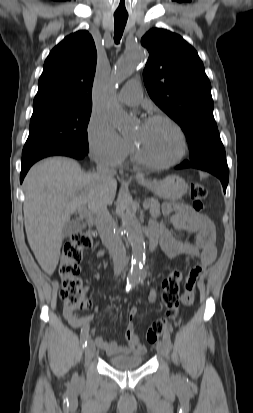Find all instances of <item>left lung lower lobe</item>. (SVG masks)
<instances>
[{
    "mask_svg": "<svg viewBox=\"0 0 253 413\" xmlns=\"http://www.w3.org/2000/svg\"><path fill=\"white\" fill-rule=\"evenodd\" d=\"M177 169L183 168H196L207 171L216 177H218L223 185L224 192L229 180V169L227 166L226 157L212 159L202 163H192L190 161H184L176 167Z\"/></svg>",
    "mask_w": 253,
    "mask_h": 413,
    "instance_id": "0a47b994",
    "label": "left lung lower lobe"
}]
</instances>
